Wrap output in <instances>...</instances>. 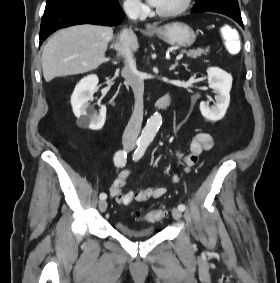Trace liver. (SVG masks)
Here are the masks:
<instances>
[{"label":"liver","mask_w":280,"mask_h":283,"mask_svg":"<svg viewBox=\"0 0 280 283\" xmlns=\"http://www.w3.org/2000/svg\"><path fill=\"white\" fill-rule=\"evenodd\" d=\"M113 38V29L96 25H77L58 31L46 43L42 52L44 79L85 73L106 61L105 52ZM132 51L139 48L138 40L130 31Z\"/></svg>","instance_id":"6515ba94"}]
</instances>
